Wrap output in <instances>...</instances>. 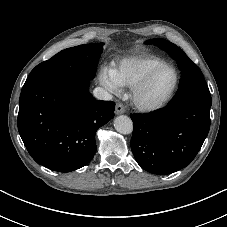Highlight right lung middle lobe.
<instances>
[{
  "label": "right lung middle lobe",
  "instance_id": "right-lung-middle-lobe-1",
  "mask_svg": "<svg viewBox=\"0 0 227 227\" xmlns=\"http://www.w3.org/2000/svg\"><path fill=\"white\" fill-rule=\"evenodd\" d=\"M102 46L103 43L86 44L62 50L51 59L37 65L29 74L22 90L53 80L68 78L92 80Z\"/></svg>",
  "mask_w": 227,
  "mask_h": 227
}]
</instances>
